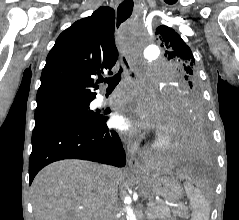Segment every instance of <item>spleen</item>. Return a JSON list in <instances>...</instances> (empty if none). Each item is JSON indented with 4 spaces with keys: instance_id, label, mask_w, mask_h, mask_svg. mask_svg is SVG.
Here are the masks:
<instances>
[{
    "instance_id": "1",
    "label": "spleen",
    "mask_w": 239,
    "mask_h": 220,
    "mask_svg": "<svg viewBox=\"0 0 239 220\" xmlns=\"http://www.w3.org/2000/svg\"><path fill=\"white\" fill-rule=\"evenodd\" d=\"M184 188L193 210L191 220H209L210 209L203 193L188 181L184 183Z\"/></svg>"
}]
</instances>
